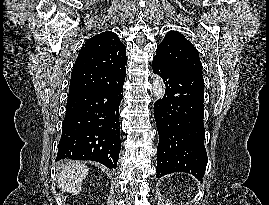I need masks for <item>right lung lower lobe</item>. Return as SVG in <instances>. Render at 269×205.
Returning a JSON list of instances; mask_svg holds the SVG:
<instances>
[{
    "mask_svg": "<svg viewBox=\"0 0 269 205\" xmlns=\"http://www.w3.org/2000/svg\"><path fill=\"white\" fill-rule=\"evenodd\" d=\"M124 79L116 85L68 95L56 161L92 160L110 169L117 167Z\"/></svg>",
    "mask_w": 269,
    "mask_h": 205,
    "instance_id": "obj_1",
    "label": "right lung lower lobe"
}]
</instances>
